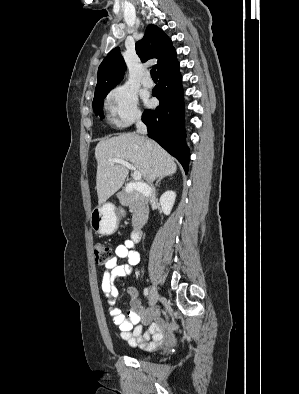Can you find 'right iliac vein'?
Instances as JSON below:
<instances>
[{"label": "right iliac vein", "instance_id": "1", "mask_svg": "<svg viewBox=\"0 0 299 394\" xmlns=\"http://www.w3.org/2000/svg\"><path fill=\"white\" fill-rule=\"evenodd\" d=\"M158 297H159L158 291H157L156 287L153 285L151 287V291H150V295H149V305L151 307H154L156 305V303L158 301Z\"/></svg>", "mask_w": 299, "mask_h": 394}]
</instances>
